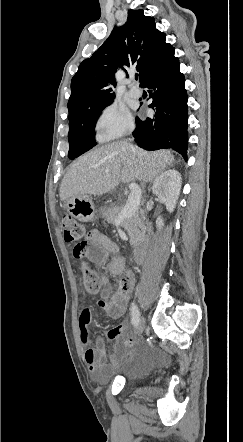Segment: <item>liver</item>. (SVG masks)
<instances>
[{
    "instance_id": "1",
    "label": "liver",
    "mask_w": 243,
    "mask_h": 442,
    "mask_svg": "<svg viewBox=\"0 0 243 442\" xmlns=\"http://www.w3.org/2000/svg\"><path fill=\"white\" fill-rule=\"evenodd\" d=\"M174 162L169 150L145 151L126 141L98 147L74 162L60 186L63 202L77 196H99L114 190L119 182H149Z\"/></svg>"
}]
</instances>
